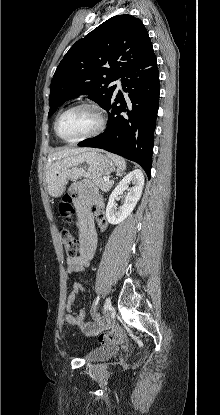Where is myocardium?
<instances>
[{"mask_svg": "<svg viewBox=\"0 0 220 415\" xmlns=\"http://www.w3.org/2000/svg\"><path fill=\"white\" fill-rule=\"evenodd\" d=\"M81 108L90 109V110H93L96 113V115L98 117V125H97L96 129L94 131H92L91 133H89L87 135H84V136H82L80 138H77V139L69 140V139L63 138L59 134V131H58V124H59L60 119L66 113H68L72 110L81 109ZM105 127H106V119H105V115H104V112H103L102 108L97 103L91 102V101L80 102V103H77L75 105L70 106L69 108L65 109L63 112H61L58 115V117L56 118L55 123H54V131H55V134L57 135V137L59 139H61L62 141L66 142V143H70V144L79 143L81 141L94 138V137L100 135L105 130Z\"/></svg>", "mask_w": 220, "mask_h": 415, "instance_id": "f54148a6", "label": "myocardium"}]
</instances>
